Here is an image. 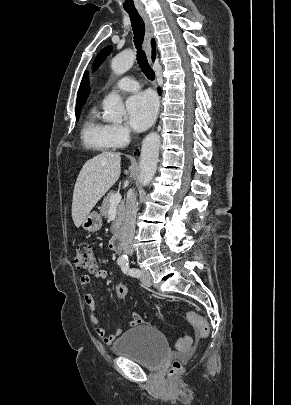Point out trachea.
<instances>
[{"label":"trachea","mask_w":291,"mask_h":405,"mask_svg":"<svg viewBox=\"0 0 291 405\" xmlns=\"http://www.w3.org/2000/svg\"><path fill=\"white\" fill-rule=\"evenodd\" d=\"M130 17L131 25L134 33V44L137 49L138 64L149 80H154L155 73L148 64L147 57L142 50V42L145 34V25L142 17L137 11H127Z\"/></svg>","instance_id":"obj_1"}]
</instances>
